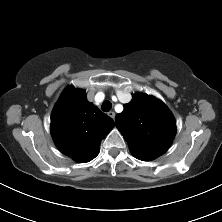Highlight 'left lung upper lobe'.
<instances>
[{
	"label": "left lung upper lobe",
	"instance_id": "1",
	"mask_svg": "<svg viewBox=\"0 0 222 222\" xmlns=\"http://www.w3.org/2000/svg\"><path fill=\"white\" fill-rule=\"evenodd\" d=\"M116 127L126 139L132 155L149 161L171 146L176 123L166 105L153 96L137 93L115 117Z\"/></svg>",
	"mask_w": 222,
	"mask_h": 222
}]
</instances>
